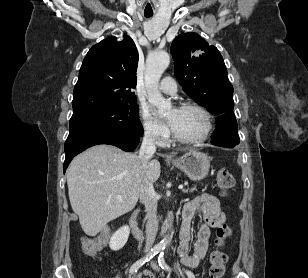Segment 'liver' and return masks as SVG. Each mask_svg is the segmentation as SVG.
Masks as SVG:
<instances>
[{"instance_id": "obj_1", "label": "liver", "mask_w": 308, "mask_h": 278, "mask_svg": "<svg viewBox=\"0 0 308 278\" xmlns=\"http://www.w3.org/2000/svg\"><path fill=\"white\" fill-rule=\"evenodd\" d=\"M160 173L157 159L144 167L137 154L111 145H96L76 156L67 169V185L83 231L95 236L108 222L131 211L142 181L154 183Z\"/></svg>"}]
</instances>
